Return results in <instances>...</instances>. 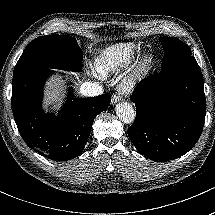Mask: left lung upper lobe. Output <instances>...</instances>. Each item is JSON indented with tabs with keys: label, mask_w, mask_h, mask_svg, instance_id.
<instances>
[{
	"label": "left lung upper lobe",
	"mask_w": 215,
	"mask_h": 215,
	"mask_svg": "<svg viewBox=\"0 0 215 215\" xmlns=\"http://www.w3.org/2000/svg\"><path fill=\"white\" fill-rule=\"evenodd\" d=\"M159 40L165 50L161 70L174 66L180 62L194 60L190 47L181 40L172 37H161Z\"/></svg>",
	"instance_id": "5c2ea615"
}]
</instances>
